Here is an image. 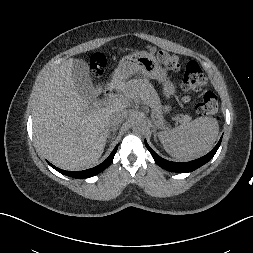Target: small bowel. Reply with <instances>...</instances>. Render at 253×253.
<instances>
[{
    "mask_svg": "<svg viewBox=\"0 0 253 253\" xmlns=\"http://www.w3.org/2000/svg\"><path fill=\"white\" fill-rule=\"evenodd\" d=\"M188 100H189V97H184V98H183V101H184V102H187Z\"/></svg>",
    "mask_w": 253,
    "mask_h": 253,
    "instance_id": "c3829d8e",
    "label": "small bowel"
}]
</instances>
